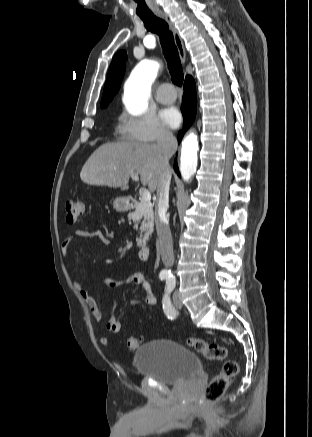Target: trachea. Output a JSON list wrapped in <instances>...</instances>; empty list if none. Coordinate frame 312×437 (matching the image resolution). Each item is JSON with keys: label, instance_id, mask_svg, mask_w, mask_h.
Instances as JSON below:
<instances>
[{"label": "trachea", "instance_id": "trachea-1", "mask_svg": "<svg viewBox=\"0 0 312 437\" xmlns=\"http://www.w3.org/2000/svg\"><path fill=\"white\" fill-rule=\"evenodd\" d=\"M141 20L147 30L156 33L160 37V43L163 49L168 69L174 84L181 86L184 79L182 65L178 54V49L174 42L172 32L168 24L154 14L140 15Z\"/></svg>", "mask_w": 312, "mask_h": 437}]
</instances>
